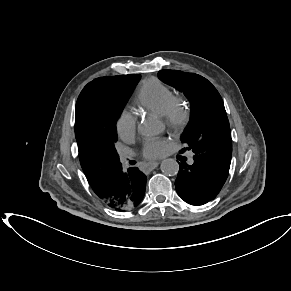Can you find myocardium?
<instances>
[{
  "instance_id": "obj_1",
  "label": "myocardium",
  "mask_w": 291,
  "mask_h": 291,
  "mask_svg": "<svg viewBox=\"0 0 291 291\" xmlns=\"http://www.w3.org/2000/svg\"><path fill=\"white\" fill-rule=\"evenodd\" d=\"M165 125L175 133L183 132L191 121L189 103L182 97H176L168 110L162 115Z\"/></svg>"
}]
</instances>
